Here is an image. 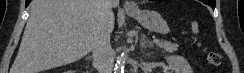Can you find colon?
Returning <instances> with one entry per match:
<instances>
[{
    "label": "colon",
    "instance_id": "1",
    "mask_svg": "<svg viewBox=\"0 0 244 73\" xmlns=\"http://www.w3.org/2000/svg\"><path fill=\"white\" fill-rule=\"evenodd\" d=\"M207 60L213 66H219L222 63V56L216 51H210L207 53Z\"/></svg>",
    "mask_w": 244,
    "mask_h": 73
}]
</instances>
